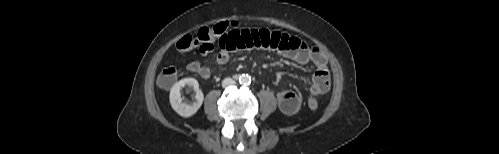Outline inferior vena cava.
<instances>
[{
    "label": "inferior vena cava",
    "instance_id": "602c4592",
    "mask_svg": "<svg viewBox=\"0 0 499 154\" xmlns=\"http://www.w3.org/2000/svg\"><path fill=\"white\" fill-rule=\"evenodd\" d=\"M236 82L232 79V78H225L223 81H222V86L223 87H227V86H230V85H234Z\"/></svg>",
    "mask_w": 499,
    "mask_h": 154
}]
</instances>
